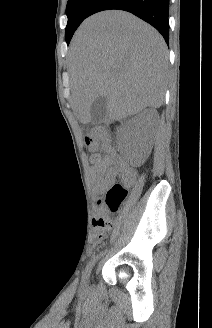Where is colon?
<instances>
[{
    "instance_id": "5ec220e1",
    "label": "colon",
    "mask_w": 212,
    "mask_h": 328,
    "mask_svg": "<svg viewBox=\"0 0 212 328\" xmlns=\"http://www.w3.org/2000/svg\"><path fill=\"white\" fill-rule=\"evenodd\" d=\"M108 141L107 133L101 128L90 129L85 135V142L89 146H95L100 143L107 144ZM127 193V188L123 184L115 183L101 194L99 199L101 211L96 219V226L100 230V237L112 228L113 216L118 212Z\"/></svg>"
}]
</instances>
